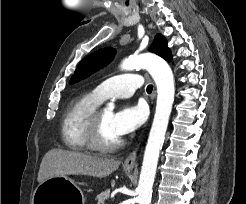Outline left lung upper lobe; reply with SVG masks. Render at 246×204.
<instances>
[{
    "label": "left lung upper lobe",
    "instance_id": "5c2ea615",
    "mask_svg": "<svg viewBox=\"0 0 246 204\" xmlns=\"http://www.w3.org/2000/svg\"><path fill=\"white\" fill-rule=\"evenodd\" d=\"M150 51L161 56L168 62H171L172 60L171 51L167 47V40L161 34L156 35L153 45L150 48ZM115 53H116L115 49L107 47V48L99 49L94 53L88 55L79 63L69 83L70 84L76 83L88 77L90 74L98 71L100 68L104 67L105 65H107L109 62L112 61Z\"/></svg>",
    "mask_w": 246,
    "mask_h": 204
}]
</instances>
